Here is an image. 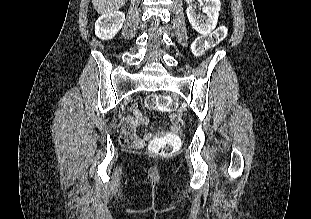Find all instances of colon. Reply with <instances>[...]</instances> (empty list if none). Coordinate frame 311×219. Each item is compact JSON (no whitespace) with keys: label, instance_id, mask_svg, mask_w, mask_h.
Segmentation results:
<instances>
[{"label":"colon","instance_id":"1","mask_svg":"<svg viewBox=\"0 0 311 219\" xmlns=\"http://www.w3.org/2000/svg\"><path fill=\"white\" fill-rule=\"evenodd\" d=\"M226 36L224 26L218 27L213 33L208 36L199 37L194 44V51L197 55L203 54L209 47L222 41ZM145 104L147 108L158 111H170L173 109L172 100L165 95L151 94L146 98ZM122 136L120 141L123 144L128 142ZM179 146V140L174 135L163 134L153 138L150 142V151L161 156L172 155Z\"/></svg>","mask_w":311,"mask_h":219}]
</instances>
